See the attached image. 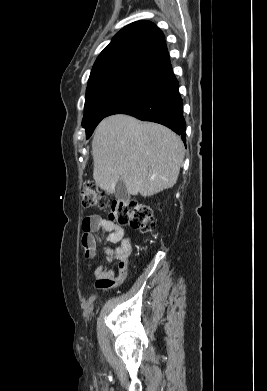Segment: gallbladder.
I'll return each instance as SVG.
<instances>
[{"instance_id": "gallbladder-1", "label": "gallbladder", "mask_w": 267, "mask_h": 391, "mask_svg": "<svg viewBox=\"0 0 267 391\" xmlns=\"http://www.w3.org/2000/svg\"><path fill=\"white\" fill-rule=\"evenodd\" d=\"M114 195L119 201L129 200V197H130L129 193H128L127 188L122 180H119L117 182Z\"/></svg>"}]
</instances>
